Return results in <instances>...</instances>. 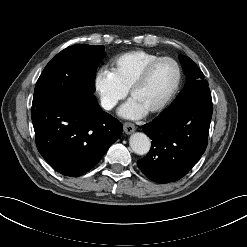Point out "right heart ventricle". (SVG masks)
Returning a JSON list of instances; mask_svg holds the SVG:
<instances>
[{
    "label": "right heart ventricle",
    "instance_id": "right-heart-ventricle-1",
    "mask_svg": "<svg viewBox=\"0 0 247 247\" xmlns=\"http://www.w3.org/2000/svg\"><path fill=\"white\" fill-rule=\"evenodd\" d=\"M158 57L144 50L126 52L112 61L111 74L116 82L128 91L142 69Z\"/></svg>",
    "mask_w": 247,
    "mask_h": 247
}]
</instances>
